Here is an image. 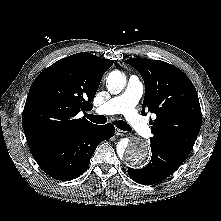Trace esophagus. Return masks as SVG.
Returning <instances> with one entry per match:
<instances>
[{
  "label": "esophagus",
  "mask_w": 221,
  "mask_h": 221,
  "mask_svg": "<svg viewBox=\"0 0 221 221\" xmlns=\"http://www.w3.org/2000/svg\"><path fill=\"white\" fill-rule=\"evenodd\" d=\"M115 134H116L117 136H124V135H125V131L116 128V129H115Z\"/></svg>",
  "instance_id": "34e87169"
}]
</instances>
